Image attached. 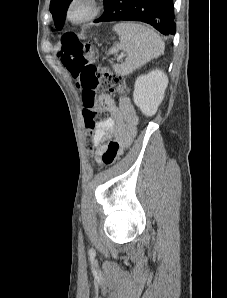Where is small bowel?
<instances>
[{
	"label": "small bowel",
	"mask_w": 227,
	"mask_h": 298,
	"mask_svg": "<svg viewBox=\"0 0 227 298\" xmlns=\"http://www.w3.org/2000/svg\"><path fill=\"white\" fill-rule=\"evenodd\" d=\"M99 105L110 116L95 127L94 157L103 167H114V162H118L122 151L131 145L136 136L138 117L127 98H121L117 104L110 95L102 94Z\"/></svg>",
	"instance_id": "obj_1"
}]
</instances>
